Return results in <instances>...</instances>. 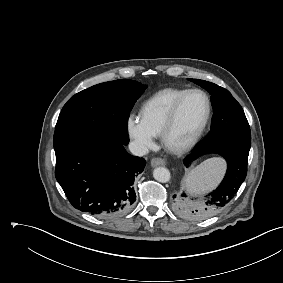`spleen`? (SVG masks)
I'll list each match as a JSON object with an SVG mask.
<instances>
[{"label":"spleen","instance_id":"obj_1","mask_svg":"<svg viewBox=\"0 0 283 283\" xmlns=\"http://www.w3.org/2000/svg\"><path fill=\"white\" fill-rule=\"evenodd\" d=\"M223 168V161L219 158L204 161L186 177V189L191 193H202L213 188L219 181Z\"/></svg>","mask_w":283,"mask_h":283}]
</instances>
